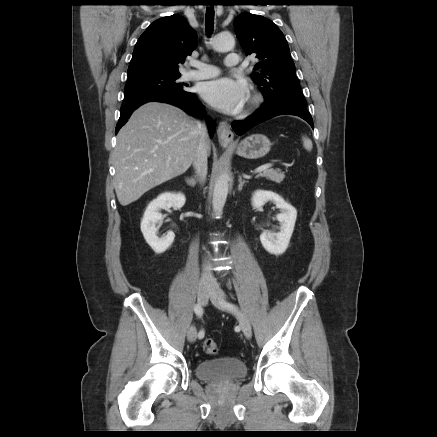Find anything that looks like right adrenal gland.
<instances>
[{
	"mask_svg": "<svg viewBox=\"0 0 437 437\" xmlns=\"http://www.w3.org/2000/svg\"><path fill=\"white\" fill-rule=\"evenodd\" d=\"M185 181H186V183L189 186H192V187H194L196 185V183H197L196 178H192V177L191 178H186Z\"/></svg>",
	"mask_w": 437,
	"mask_h": 437,
	"instance_id": "obj_1",
	"label": "right adrenal gland"
}]
</instances>
